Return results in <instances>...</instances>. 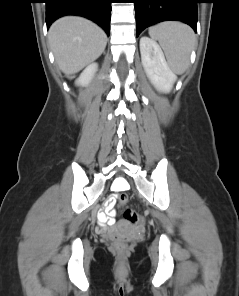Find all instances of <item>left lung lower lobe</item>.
I'll list each match as a JSON object with an SVG mask.
<instances>
[{
    "label": "left lung lower lobe",
    "instance_id": "1",
    "mask_svg": "<svg viewBox=\"0 0 239 296\" xmlns=\"http://www.w3.org/2000/svg\"><path fill=\"white\" fill-rule=\"evenodd\" d=\"M136 11L137 36L148 26L175 20L190 25L197 32L199 0H133Z\"/></svg>",
    "mask_w": 239,
    "mask_h": 296
}]
</instances>
